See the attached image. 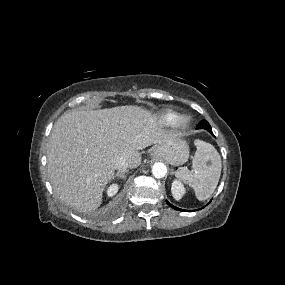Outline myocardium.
<instances>
[{"label":"myocardium","mask_w":285,"mask_h":285,"mask_svg":"<svg viewBox=\"0 0 285 285\" xmlns=\"http://www.w3.org/2000/svg\"><path fill=\"white\" fill-rule=\"evenodd\" d=\"M179 124L182 126V127H187L189 124H190V119L188 117H184V118H181L179 120Z\"/></svg>","instance_id":"1"}]
</instances>
